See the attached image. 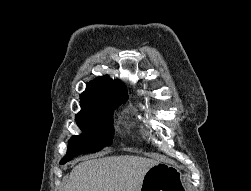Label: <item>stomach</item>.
<instances>
[{"instance_id": "obj_1", "label": "stomach", "mask_w": 251, "mask_h": 191, "mask_svg": "<svg viewBox=\"0 0 251 191\" xmlns=\"http://www.w3.org/2000/svg\"><path fill=\"white\" fill-rule=\"evenodd\" d=\"M182 173L168 163L158 161L144 175L141 191H184Z\"/></svg>"}]
</instances>
